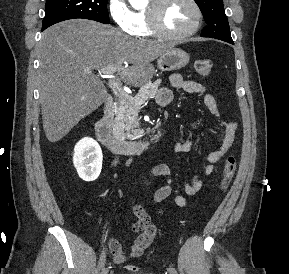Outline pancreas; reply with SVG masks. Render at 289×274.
Listing matches in <instances>:
<instances>
[{
    "mask_svg": "<svg viewBox=\"0 0 289 274\" xmlns=\"http://www.w3.org/2000/svg\"><path fill=\"white\" fill-rule=\"evenodd\" d=\"M161 81L146 83L135 97L120 98L115 109L114 129L118 136L126 137L130 140L138 139L142 135L139 129L138 111L140 105L136 101H147L157 94Z\"/></svg>",
    "mask_w": 289,
    "mask_h": 274,
    "instance_id": "1",
    "label": "pancreas"
}]
</instances>
